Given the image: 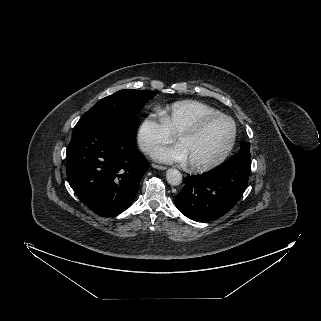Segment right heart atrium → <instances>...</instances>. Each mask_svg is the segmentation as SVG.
<instances>
[{
    "label": "right heart atrium",
    "instance_id": "d8ad5b80",
    "mask_svg": "<svg viewBox=\"0 0 321 321\" xmlns=\"http://www.w3.org/2000/svg\"><path fill=\"white\" fill-rule=\"evenodd\" d=\"M137 139L140 148L150 153L156 147L172 141V134L167 130L161 114L151 113L139 125Z\"/></svg>",
    "mask_w": 321,
    "mask_h": 321
}]
</instances>
